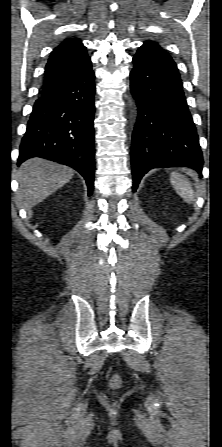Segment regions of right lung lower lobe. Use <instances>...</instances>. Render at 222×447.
Returning <instances> with one entry per match:
<instances>
[{
	"instance_id": "1",
	"label": "right lung lower lobe",
	"mask_w": 222,
	"mask_h": 447,
	"mask_svg": "<svg viewBox=\"0 0 222 447\" xmlns=\"http://www.w3.org/2000/svg\"><path fill=\"white\" fill-rule=\"evenodd\" d=\"M95 75L90 58L36 100L20 146L18 165L42 157L77 170L94 186Z\"/></svg>"
}]
</instances>
